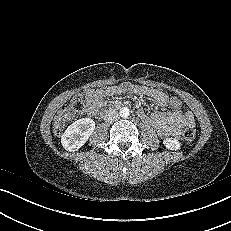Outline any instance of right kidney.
I'll return each instance as SVG.
<instances>
[{"label":"right kidney","mask_w":231,"mask_h":231,"mask_svg":"<svg viewBox=\"0 0 231 231\" xmlns=\"http://www.w3.org/2000/svg\"><path fill=\"white\" fill-rule=\"evenodd\" d=\"M95 122L90 118H82L73 122L61 136V144L67 151L81 148L92 135Z\"/></svg>","instance_id":"right-kidney-1"}]
</instances>
